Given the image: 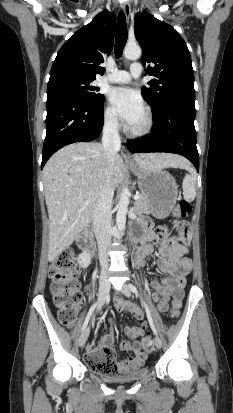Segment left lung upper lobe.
<instances>
[{
  "label": "left lung upper lobe",
  "mask_w": 233,
  "mask_h": 413,
  "mask_svg": "<svg viewBox=\"0 0 233 413\" xmlns=\"http://www.w3.org/2000/svg\"><path fill=\"white\" fill-rule=\"evenodd\" d=\"M134 32L143 49L144 64H153L146 73L155 78L143 87L152 109L156 112L176 103L195 108L191 57L179 33L147 12L136 15Z\"/></svg>",
  "instance_id": "5c2ea615"
}]
</instances>
